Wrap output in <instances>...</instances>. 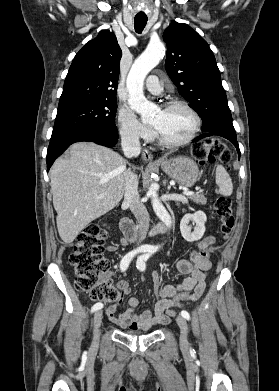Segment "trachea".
Masks as SVG:
<instances>
[{
  "instance_id": "1",
  "label": "trachea",
  "mask_w": 279,
  "mask_h": 391,
  "mask_svg": "<svg viewBox=\"0 0 279 391\" xmlns=\"http://www.w3.org/2000/svg\"><path fill=\"white\" fill-rule=\"evenodd\" d=\"M147 18H135V21H134V26H135V31L137 33H142L143 29L145 28L146 24H147Z\"/></svg>"
}]
</instances>
